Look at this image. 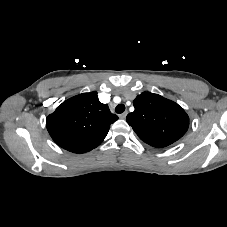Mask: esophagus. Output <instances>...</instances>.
<instances>
[{"label":"esophagus","mask_w":227,"mask_h":227,"mask_svg":"<svg viewBox=\"0 0 227 227\" xmlns=\"http://www.w3.org/2000/svg\"><path fill=\"white\" fill-rule=\"evenodd\" d=\"M127 116V111L123 112L122 114L119 115L121 119H125Z\"/></svg>","instance_id":"34e87169"}]
</instances>
